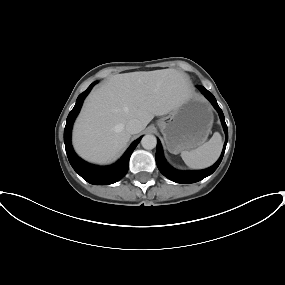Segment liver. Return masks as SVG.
I'll return each instance as SVG.
<instances>
[{
	"label": "liver",
	"instance_id": "obj_1",
	"mask_svg": "<svg viewBox=\"0 0 285 285\" xmlns=\"http://www.w3.org/2000/svg\"><path fill=\"white\" fill-rule=\"evenodd\" d=\"M191 96L188 75L175 69L114 75L85 100L74 124L73 146L87 161L109 163L130 140V120H139L143 130L154 116L170 113Z\"/></svg>",
	"mask_w": 285,
	"mask_h": 285
}]
</instances>
